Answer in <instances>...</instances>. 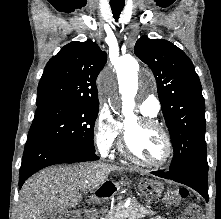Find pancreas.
I'll list each match as a JSON object with an SVG mask.
<instances>
[{"label":"pancreas","instance_id":"pancreas-1","mask_svg":"<svg viewBox=\"0 0 221 219\" xmlns=\"http://www.w3.org/2000/svg\"><path fill=\"white\" fill-rule=\"evenodd\" d=\"M106 213L103 219H142L146 215L154 214L152 210L140 205L135 198L131 200L128 207L118 205L106 211Z\"/></svg>","mask_w":221,"mask_h":219}]
</instances>
